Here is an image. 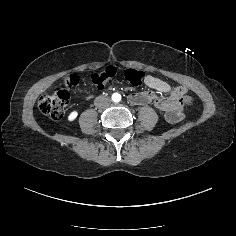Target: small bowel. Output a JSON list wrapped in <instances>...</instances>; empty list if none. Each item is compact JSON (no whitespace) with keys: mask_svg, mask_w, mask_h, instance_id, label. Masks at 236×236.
I'll use <instances>...</instances> for the list:
<instances>
[{"mask_svg":"<svg viewBox=\"0 0 236 236\" xmlns=\"http://www.w3.org/2000/svg\"><path fill=\"white\" fill-rule=\"evenodd\" d=\"M148 84L154 87L157 86V83H155L153 80L148 81Z\"/></svg>","mask_w":236,"mask_h":236,"instance_id":"c3829d8e","label":"small bowel"}]
</instances>
